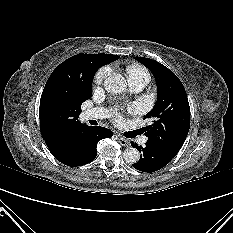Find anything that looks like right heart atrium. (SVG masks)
Returning <instances> with one entry per match:
<instances>
[{
    "mask_svg": "<svg viewBox=\"0 0 233 233\" xmlns=\"http://www.w3.org/2000/svg\"><path fill=\"white\" fill-rule=\"evenodd\" d=\"M110 71H111L110 66L101 67L95 75V83L101 84L106 79V77L109 75Z\"/></svg>",
    "mask_w": 233,
    "mask_h": 233,
    "instance_id": "d8ad5b80",
    "label": "right heart atrium"
}]
</instances>
